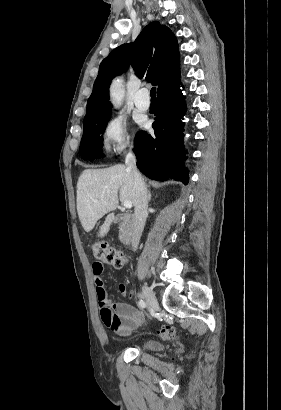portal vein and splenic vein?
Listing matches in <instances>:
<instances>
[{
  "instance_id": "18ae733b",
  "label": "portal vein and splenic vein",
  "mask_w": 281,
  "mask_h": 410,
  "mask_svg": "<svg viewBox=\"0 0 281 410\" xmlns=\"http://www.w3.org/2000/svg\"><path fill=\"white\" fill-rule=\"evenodd\" d=\"M123 206H124L125 209H130L132 207V202L126 200V201L123 202Z\"/></svg>"
}]
</instances>
